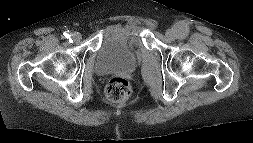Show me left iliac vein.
<instances>
[{
  "label": "left iliac vein",
  "instance_id": "4c4485c4",
  "mask_svg": "<svg viewBox=\"0 0 253 143\" xmlns=\"http://www.w3.org/2000/svg\"><path fill=\"white\" fill-rule=\"evenodd\" d=\"M165 35L169 40H174L177 36L176 32L173 29H168L165 32Z\"/></svg>",
  "mask_w": 253,
  "mask_h": 143
}]
</instances>
